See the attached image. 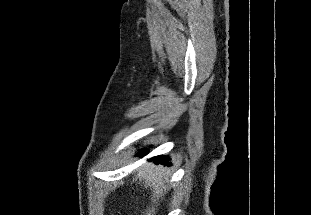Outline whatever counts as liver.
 <instances>
[{
  "label": "liver",
  "mask_w": 311,
  "mask_h": 215,
  "mask_svg": "<svg viewBox=\"0 0 311 215\" xmlns=\"http://www.w3.org/2000/svg\"><path fill=\"white\" fill-rule=\"evenodd\" d=\"M140 181L145 180V188L150 187L153 192L152 202L157 203L160 197L167 192L168 173L164 168H154L153 164L146 163L138 170ZM146 215H155V207L148 209Z\"/></svg>",
  "instance_id": "6515ba94"
}]
</instances>
